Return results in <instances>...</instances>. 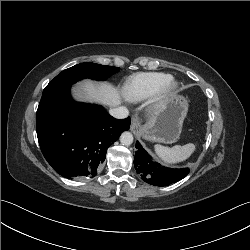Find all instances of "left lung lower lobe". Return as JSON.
<instances>
[{
	"instance_id": "0a47b994",
	"label": "left lung lower lobe",
	"mask_w": 250,
	"mask_h": 250,
	"mask_svg": "<svg viewBox=\"0 0 250 250\" xmlns=\"http://www.w3.org/2000/svg\"><path fill=\"white\" fill-rule=\"evenodd\" d=\"M134 166L142 179L155 186H168L183 179L189 173V168L170 169L152 160V157L136 142Z\"/></svg>"
}]
</instances>
